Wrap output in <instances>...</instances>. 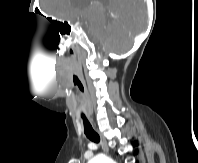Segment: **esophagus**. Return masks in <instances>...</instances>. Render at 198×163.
<instances>
[{
    "instance_id": "esophagus-1",
    "label": "esophagus",
    "mask_w": 198,
    "mask_h": 163,
    "mask_svg": "<svg viewBox=\"0 0 198 163\" xmlns=\"http://www.w3.org/2000/svg\"><path fill=\"white\" fill-rule=\"evenodd\" d=\"M100 138H101V147L104 150V152L108 153L109 148H108V144L107 141L105 140V138L102 136V134L99 132Z\"/></svg>"
}]
</instances>
